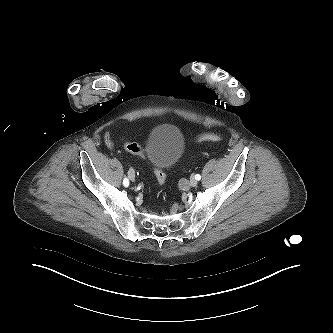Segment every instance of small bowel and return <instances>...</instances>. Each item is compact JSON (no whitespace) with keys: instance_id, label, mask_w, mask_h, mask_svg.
I'll use <instances>...</instances> for the list:
<instances>
[{"instance_id":"c3829d8e","label":"small bowel","mask_w":333,"mask_h":333,"mask_svg":"<svg viewBox=\"0 0 333 333\" xmlns=\"http://www.w3.org/2000/svg\"><path fill=\"white\" fill-rule=\"evenodd\" d=\"M105 142H106L107 147L112 150L113 149V143H112L109 132H107L105 134Z\"/></svg>"}]
</instances>
